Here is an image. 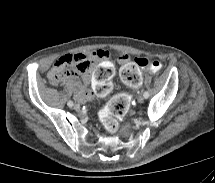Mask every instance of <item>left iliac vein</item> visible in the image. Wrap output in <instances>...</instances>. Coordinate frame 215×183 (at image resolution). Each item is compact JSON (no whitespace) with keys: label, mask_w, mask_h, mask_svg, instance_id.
I'll return each mask as SVG.
<instances>
[{"label":"left iliac vein","mask_w":215,"mask_h":183,"mask_svg":"<svg viewBox=\"0 0 215 183\" xmlns=\"http://www.w3.org/2000/svg\"><path fill=\"white\" fill-rule=\"evenodd\" d=\"M144 99H145L144 96H139L137 100H138L139 103H143Z\"/></svg>","instance_id":"4c4485c4"}]
</instances>
